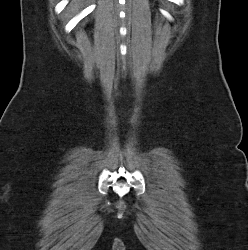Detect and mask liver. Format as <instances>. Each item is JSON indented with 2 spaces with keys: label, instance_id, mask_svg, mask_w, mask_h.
<instances>
[{
  "label": "liver",
  "instance_id": "6515ba94",
  "mask_svg": "<svg viewBox=\"0 0 248 250\" xmlns=\"http://www.w3.org/2000/svg\"><path fill=\"white\" fill-rule=\"evenodd\" d=\"M78 2H79V0H74V1L72 2V4H74V7H75V8L78 7Z\"/></svg>",
  "mask_w": 248,
  "mask_h": 250
}]
</instances>
